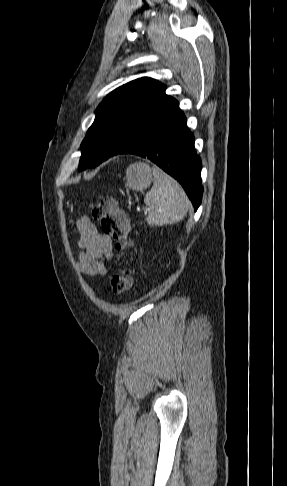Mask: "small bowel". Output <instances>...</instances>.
<instances>
[{"mask_svg":"<svg viewBox=\"0 0 287 486\" xmlns=\"http://www.w3.org/2000/svg\"><path fill=\"white\" fill-rule=\"evenodd\" d=\"M76 227L79 233L77 245L80 250L77 270L89 277L105 276L106 263L114 256L112 239L100 233L87 216L78 217Z\"/></svg>","mask_w":287,"mask_h":486,"instance_id":"obj_1","label":"small bowel"}]
</instances>
